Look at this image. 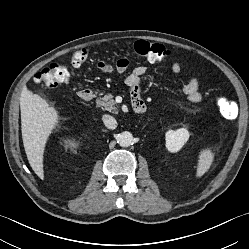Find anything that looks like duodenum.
I'll list each match as a JSON object with an SVG mask.
<instances>
[{
  "label": "duodenum",
  "mask_w": 249,
  "mask_h": 249,
  "mask_svg": "<svg viewBox=\"0 0 249 249\" xmlns=\"http://www.w3.org/2000/svg\"><path fill=\"white\" fill-rule=\"evenodd\" d=\"M93 97L94 92L90 88H83L79 91V98L83 101H90ZM133 108L138 114H143L146 111V105L140 98L133 100Z\"/></svg>",
  "instance_id": "obj_1"
}]
</instances>
